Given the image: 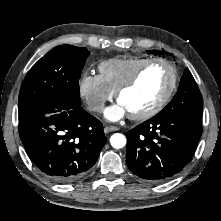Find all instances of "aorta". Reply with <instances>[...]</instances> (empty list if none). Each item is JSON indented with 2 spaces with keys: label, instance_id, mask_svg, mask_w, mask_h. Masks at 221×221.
<instances>
[{
  "label": "aorta",
  "instance_id": "aorta-1",
  "mask_svg": "<svg viewBox=\"0 0 221 221\" xmlns=\"http://www.w3.org/2000/svg\"><path fill=\"white\" fill-rule=\"evenodd\" d=\"M110 144L116 149L123 148L126 145V137L121 133H115L110 138Z\"/></svg>",
  "mask_w": 221,
  "mask_h": 221
}]
</instances>
